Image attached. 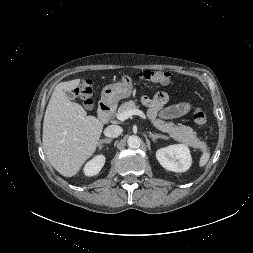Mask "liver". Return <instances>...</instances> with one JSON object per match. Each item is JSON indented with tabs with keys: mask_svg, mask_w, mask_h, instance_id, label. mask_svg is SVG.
Instances as JSON below:
<instances>
[{
	"mask_svg": "<svg viewBox=\"0 0 253 253\" xmlns=\"http://www.w3.org/2000/svg\"><path fill=\"white\" fill-rule=\"evenodd\" d=\"M80 79L60 82L54 89L43 120V149L54 169L65 177L78 173L99 144L104 123L87 116L84 108L66 95Z\"/></svg>",
	"mask_w": 253,
	"mask_h": 253,
	"instance_id": "liver-1",
	"label": "liver"
}]
</instances>
